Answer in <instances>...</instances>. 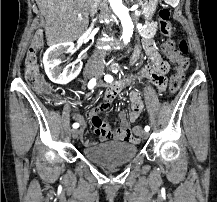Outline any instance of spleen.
Instances as JSON below:
<instances>
[{
	"instance_id": "spleen-1",
	"label": "spleen",
	"mask_w": 217,
	"mask_h": 202,
	"mask_svg": "<svg viewBox=\"0 0 217 202\" xmlns=\"http://www.w3.org/2000/svg\"><path fill=\"white\" fill-rule=\"evenodd\" d=\"M167 5H169L170 7H177L178 0H167Z\"/></svg>"
}]
</instances>
